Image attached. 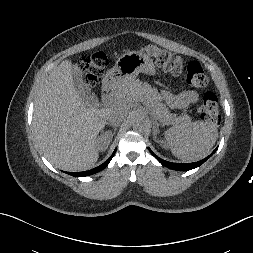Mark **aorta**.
<instances>
[{"mask_svg":"<svg viewBox=\"0 0 253 253\" xmlns=\"http://www.w3.org/2000/svg\"><path fill=\"white\" fill-rule=\"evenodd\" d=\"M133 127L137 130H143L146 127V121L141 115H136L133 120Z\"/></svg>","mask_w":253,"mask_h":253,"instance_id":"1","label":"aorta"}]
</instances>
